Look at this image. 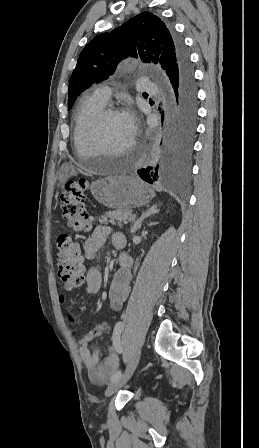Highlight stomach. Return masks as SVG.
Instances as JSON below:
<instances>
[{
    "label": "stomach",
    "instance_id": "stomach-1",
    "mask_svg": "<svg viewBox=\"0 0 259 448\" xmlns=\"http://www.w3.org/2000/svg\"><path fill=\"white\" fill-rule=\"evenodd\" d=\"M74 172H73V166H71V164H62V166H60V170H59V182H60V186H62V184H65V182H67L68 178H70V176H73Z\"/></svg>",
    "mask_w": 259,
    "mask_h": 448
}]
</instances>
